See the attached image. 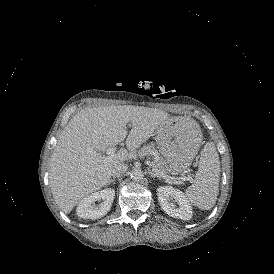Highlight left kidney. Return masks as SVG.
Listing matches in <instances>:
<instances>
[{"label":"left kidney","mask_w":274,"mask_h":274,"mask_svg":"<svg viewBox=\"0 0 274 274\" xmlns=\"http://www.w3.org/2000/svg\"><path fill=\"white\" fill-rule=\"evenodd\" d=\"M158 199L161 208L169 216L185 221L192 218L190 204L185 200L181 191L168 186L159 187Z\"/></svg>","instance_id":"5707ae66"}]
</instances>
